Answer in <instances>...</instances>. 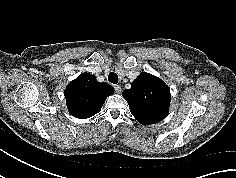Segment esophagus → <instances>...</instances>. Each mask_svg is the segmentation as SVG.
<instances>
[{
    "label": "esophagus",
    "mask_w": 236,
    "mask_h": 178,
    "mask_svg": "<svg viewBox=\"0 0 236 178\" xmlns=\"http://www.w3.org/2000/svg\"><path fill=\"white\" fill-rule=\"evenodd\" d=\"M114 89H115V92L118 93V94L122 92V88L119 85H115Z\"/></svg>",
    "instance_id": "34e87169"
}]
</instances>
